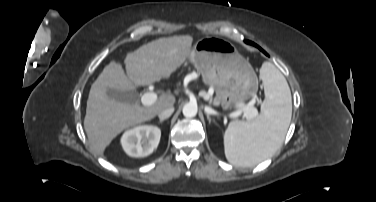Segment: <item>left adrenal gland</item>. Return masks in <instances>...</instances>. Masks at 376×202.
<instances>
[{
    "instance_id": "a2214340",
    "label": "left adrenal gland",
    "mask_w": 376,
    "mask_h": 202,
    "mask_svg": "<svg viewBox=\"0 0 376 202\" xmlns=\"http://www.w3.org/2000/svg\"><path fill=\"white\" fill-rule=\"evenodd\" d=\"M206 116H207V119H208L209 123H211V118H210V116H209L208 113H206Z\"/></svg>"
}]
</instances>
